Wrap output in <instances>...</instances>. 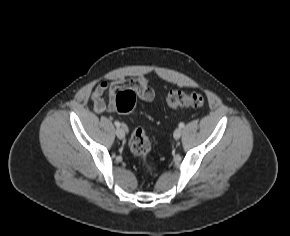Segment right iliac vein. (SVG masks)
<instances>
[{
    "mask_svg": "<svg viewBox=\"0 0 290 236\" xmlns=\"http://www.w3.org/2000/svg\"><path fill=\"white\" fill-rule=\"evenodd\" d=\"M126 126L122 125L116 129V135L119 139H123L125 137Z\"/></svg>",
    "mask_w": 290,
    "mask_h": 236,
    "instance_id": "right-iliac-vein-1",
    "label": "right iliac vein"
}]
</instances>
